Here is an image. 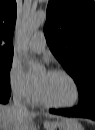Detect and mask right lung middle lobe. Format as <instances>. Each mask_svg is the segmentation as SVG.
Instances as JSON below:
<instances>
[{
  "label": "right lung middle lobe",
  "instance_id": "right-lung-middle-lobe-1",
  "mask_svg": "<svg viewBox=\"0 0 95 130\" xmlns=\"http://www.w3.org/2000/svg\"><path fill=\"white\" fill-rule=\"evenodd\" d=\"M12 65V58H0V89H10L9 71Z\"/></svg>",
  "mask_w": 95,
  "mask_h": 130
}]
</instances>
